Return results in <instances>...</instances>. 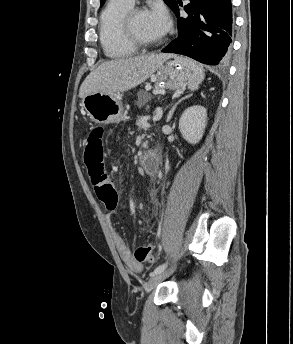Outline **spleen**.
<instances>
[{
    "label": "spleen",
    "instance_id": "1",
    "mask_svg": "<svg viewBox=\"0 0 293 344\" xmlns=\"http://www.w3.org/2000/svg\"><path fill=\"white\" fill-rule=\"evenodd\" d=\"M179 59L185 61L191 67L193 71V74L188 81V88L193 91L198 89L199 85L201 84V82L204 80V77H205L204 70L202 69V67H200L199 65H197L194 61L190 59H187V58L186 59L179 58Z\"/></svg>",
    "mask_w": 293,
    "mask_h": 344
}]
</instances>
